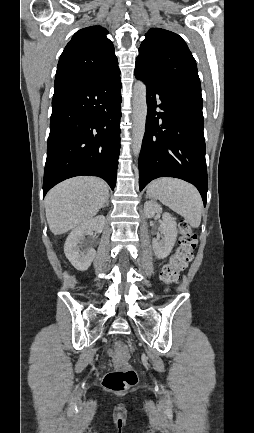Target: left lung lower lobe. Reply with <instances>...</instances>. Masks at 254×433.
<instances>
[{
  "label": "left lung lower lobe",
  "mask_w": 254,
  "mask_h": 433,
  "mask_svg": "<svg viewBox=\"0 0 254 433\" xmlns=\"http://www.w3.org/2000/svg\"><path fill=\"white\" fill-rule=\"evenodd\" d=\"M135 76L147 87L148 104L139 156L140 191L159 177L180 178L199 190L205 206L208 181L202 95L164 84L137 66Z\"/></svg>",
  "instance_id": "obj_1"
}]
</instances>
